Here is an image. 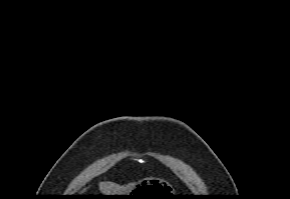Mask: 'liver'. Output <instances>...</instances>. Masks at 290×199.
<instances>
[{
    "label": "liver",
    "instance_id": "6515ba94",
    "mask_svg": "<svg viewBox=\"0 0 290 199\" xmlns=\"http://www.w3.org/2000/svg\"><path fill=\"white\" fill-rule=\"evenodd\" d=\"M99 187L101 192L105 193V195L122 193V188L111 182H101Z\"/></svg>",
    "mask_w": 290,
    "mask_h": 199
}]
</instances>
